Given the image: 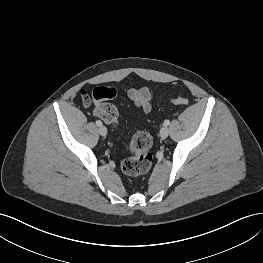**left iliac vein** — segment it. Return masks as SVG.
Wrapping results in <instances>:
<instances>
[{"label": "left iliac vein", "mask_w": 263, "mask_h": 263, "mask_svg": "<svg viewBox=\"0 0 263 263\" xmlns=\"http://www.w3.org/2000/svg\"><path fill=\"white\" fill-rule=\"evenodd\" d=\"M169 135V129L167 126H163L161 129H160V136L162 139H165L167 138Z\"/></svg>", "instance_id": "obj_1"}]
</instances>
